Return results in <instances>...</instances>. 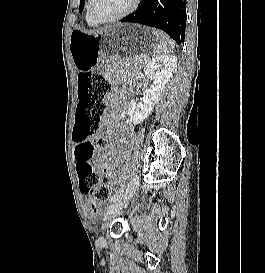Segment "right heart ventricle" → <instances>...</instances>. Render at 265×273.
<instances>
[{
    "label": "right heart ventricle",
    "mask_w": 265,
    "mask_h": 273,
    "mask_svg": "<svg viewBox=\"0 0 265 273\" xmlns=\"http://www.w3.org/2000/svg\"><path fill=\"white\" fill-rule=\"evenodd\" d=\"M86 8H87V5H86ZM85 19H86L87 24L90 26H97L98 25L97 23H95L93 20L90 19V17L88 16L87 10H86V14H85Z\"/></svg>",
    "instance_id": "right-heart-ventricle-1"
}]
</instances>
